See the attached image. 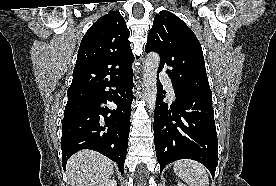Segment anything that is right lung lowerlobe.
<instances>
[{
	"label": "right lung lower lobe",
	"instance_id": "1",
	"mask_svg": "<svg viewBox=\"0 0 276 186\" xmlns=\"http://www.w3.org/2000/svg\"><path fill=\"white\" fill-rule=\"evenodd\" d=\"M114 87L115 90H106ZM133 72L123 79L93 88L73 101H68L62 122V165L82 149L97 151L116 162L121 174L127 153L133 100ZM106 100L116 108L101 107Z\"/></svg>",
	"mask_w": 276,
	"mask_h": 186
}]
</instances>
